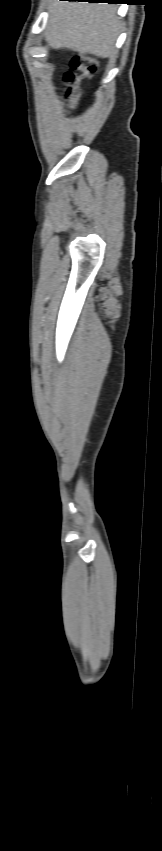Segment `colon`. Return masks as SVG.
Instances as JSON below:
<instances>
[{
  "label": "colon",
  "instance_id": "colon-1",
  "mask_svg": "<svg viewBox=\"0 0 162 851\" xmlns=\"http://www.w3.org/2000/svg\"><path fill=\"white\" fill-rule=\"evenodd\" d=\"M96 69L97 62L94 58L80 54L74 55L70 62V69L64 75L69 93L76 95L82 82Z\"/></svg>",
  "mask_w": 162,
  "mask_h": 851
}]
</instances>
